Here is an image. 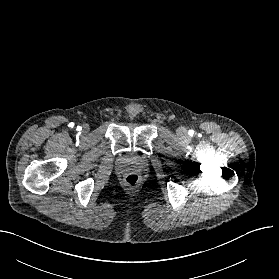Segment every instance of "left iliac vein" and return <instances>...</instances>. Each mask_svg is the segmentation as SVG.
I'll return each instance as SVG.
<instances>
[{"label":"left iliac vein","mask_w":279,"mask_h":279,"mask_svg":"<svg viewBox=\"0 0 279 279\" xmlns=\"http://www.w3.org/2000/svg\"><path fill=\"white\" fill-rule=\"evenodd\" d=\"M177 134H178V136L185 138V137L187 136V131H186L185 128L180 127V128L177 130Z\"/></svg>","instance_id":"1"}]
</instances>
